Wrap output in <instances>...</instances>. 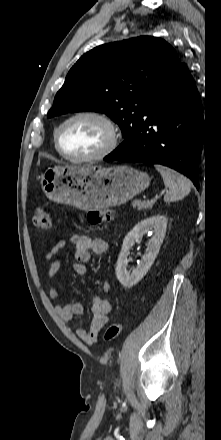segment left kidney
<instances>
[{
	"mask_svg": "<svg viewBox=\"0 0 221 440\" xmlns=\"http://www.w3.org/2000/svg\"><path fill=\"white\" fill-rule=\"evenodd\" d=\"M166 228V217L157 214L137 223L125 236L116 266V276L121 285L126 288L133 287L146 275L159 253L165 237ZM146 233L152 236L147 243L146 254L143 255L142 260L138 263L137 267L129 273L127 271V258L130 254V249L135 241L140 240Z\"/></svg>",
	"mask_w": 221,
	"mask_h": 440,
	"instance_id": "obj_1",
	"label": "left kidney"
}]
</instances>
